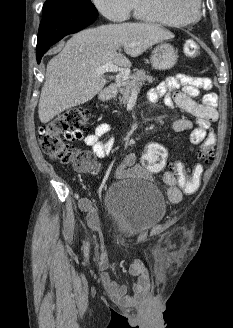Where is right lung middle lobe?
Segmentation results:
<instances>
[{
  "mask_svg": "<svg viewBox=\"0 0 233 328\" xmlns=\"http://www.w3.org/2000/svg\"><path fill=\"white\" fill-rule=\"evenodd\" d=\"M46 9L97 12L90 0H46L43 10Z\"/></svg>",
  "mask_w": 233,
  "mask_h": 328,
  "instance_id": "right-lung-middle-lobe-1",
  "label": "right lung middle lobe"
}]
</instances>
